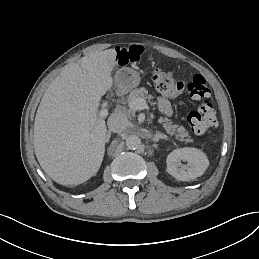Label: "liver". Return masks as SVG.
<instances>
[{
  "mask_svg": "<svg viewBox=\"0 0 259 259\" xmlns=\"http://www.w3.org/2000/svg\"><path fill=\"white\" fill-rule=\"evenodd\" d=\"M114 49L95 50L64 67L45 91L34 122V150L42 169L57 183L79 185L99 170L107 136L97 117L111 89Z\"/></svg>",
  "mask_w": 259,
  "mask_h": 259,
  "instance_id": "1",
  "label": "liver"
}]
</instances>
